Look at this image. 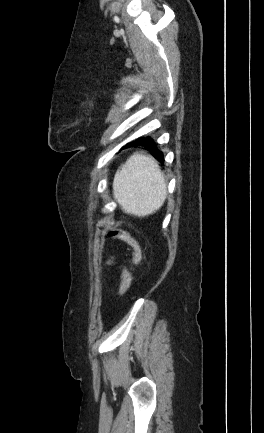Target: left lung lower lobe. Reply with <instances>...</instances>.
<instances>
[{"mask_svg": "<svg viewBox=\"0 0 264 433\" xmlns=\"http://www.w3.org/2000/svg\"><path fill=\"white\" fill-rule=\"evenodd\" d=\"M132 145H142L148 148L151 155H153L158 161L163 162V154L160 152L157 148V144L155 141L150 137H140L131 143L127 144L126 146H132Z\"/></svg>", "mask_w": 264, "mask_h": 433, "instance_id": "0a47b994", "label": "left lung lower lobe"}]
</instances>
